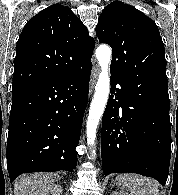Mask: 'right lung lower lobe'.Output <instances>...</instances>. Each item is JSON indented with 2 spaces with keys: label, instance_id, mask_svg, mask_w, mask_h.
I'll list each match as a JSON object with an SVG mask.
<instances>
[{
  "label": "right lung lower lobe",
  "instance_id": "98d812e1",
  "mask_svg": "<svg viewBox=\"0 0 178 195\" xmlns=\"http://www.w3.org/2000/svg\"><path fill=\"white\" fill-rule=\"evenodd\" d=\"M92 64L58 79L12 88L7 139L10 181L20 174L67 170L77 165V147Z\"/></svg>",
  "mask_w": 178,
  "mask_h": 195
}]
</instances>
